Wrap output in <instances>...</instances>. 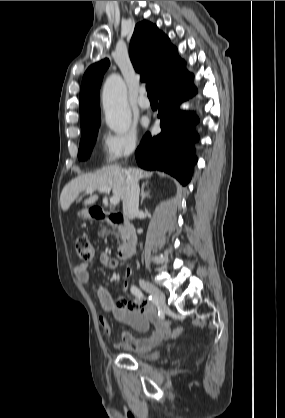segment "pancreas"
<instances>
[{"instance_id": "pancreas-1", "label": "pancreas", "mask_w": 285, "mask_h": 418, "mask_svg": "<svg viewBox=\"0 0 285 418\" xmlns=\"http://www.w3.org/2000/svg\"><path fill=\"white\" fill-rule=\"evenodd\" d=\"M116 227H113V230H105L104 233H110L112 232L113 234H116V237L119 238V234L115 232Z\"/></svg>"}]
</instances>
